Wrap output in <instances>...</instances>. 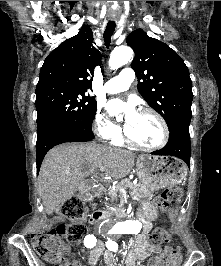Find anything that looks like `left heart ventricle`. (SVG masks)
Here are the masks:
<instances>
[{
  "mask_svg": "<svg viewBox=\"0 0 221 266\" xmlns=\"http://www.w3.org/2000/svg\"><path fill=\"white\" fill-rule=\"evenodd\" d=\"M129 135L138 143L151 146L162 136L158 121L150 114L138 113L130 122L125 123Z\"/></svg>",
  "mask_w": 221,
  "mask_h": 266,
  "instance_id": "left-heart-ventricle-1",
  "label": "left heart ventricle"
}]
</instances>
